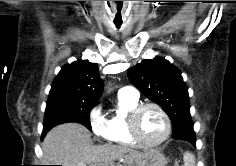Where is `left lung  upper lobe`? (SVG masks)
<instances>
[{
  "label": "left lung upper lobe",
  "instance_id": "1",
  "mask_svg": "<svg viewBox=\"0 0 236 166\" xmlns=\"http://www.w3.org/2000/svg\"><path fill=\"white\" fill-rule=\"evenodd\" d=\"M128 76L148 99L163 108L172 123L182 122L193 128L188 88L180 71L168 60L145 59L131 67Z\"/></svg>",
  "mask_w": 236,
  "mask_h": 166
}]
</instances>
